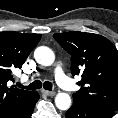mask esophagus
Returning a JSON list of instances; mask_svg holds the SVG:
<instances>
[{
  "mask_svg": "<svg viewBox=\"0 0 118 118\" xmlns=\"http://www.w3.org/2000/svg\"><path fill=\"white\" fill-rule=\"evenodd\" d=\"M42 92L47 95V96H54L55 92L54 91H47V90H42Z\"/></svg>",
  "mask_w": 118,
  "mask_h": 118,
  "instance_id": "esophagus-1",
  "label": "esophagus"
}]
</instances>
